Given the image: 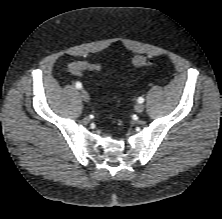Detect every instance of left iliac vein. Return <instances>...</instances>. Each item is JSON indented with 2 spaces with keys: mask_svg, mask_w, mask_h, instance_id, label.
I'll use <instances>...</instances> for the list:
<instances>
[{
  "mask_svg": "<svg viewBox=\"0 0 222 219\" xmlns=\"http://www.w3.org/2000/svg\"><path fill=\"white\" fill-rule=\"evenodd\" d=\"M134 110L137 112V113H141L144 111V105L142 103H137L135 106H134Z\"/></svg>",
  "mask_w": 222,
  "mask_h": 219,
  "instance_id": "1",
  "label": "left iliac vein"
}]
</instances>
